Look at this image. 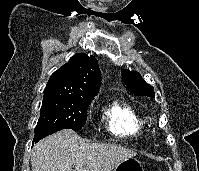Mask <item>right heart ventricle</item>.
<instances>
[{"mask_svg": "<svg viewBox=\"0 0 199 171\" xmlns=\"http://www.w3.org/2000/svg\"><path fill=\"white\" fill-rule=\"evenodd\" d=\"M107 129L119 137H139L148 128V120L121 97L111 99L102 111Z\"/></svg>", "mask_w": 199, "mask_h": 171, "instance_id": "e07e8e85", "label": "right heart ventricle"}]
</instances>
